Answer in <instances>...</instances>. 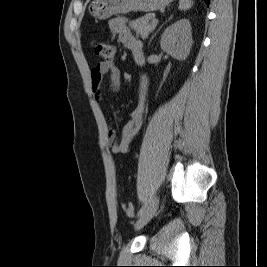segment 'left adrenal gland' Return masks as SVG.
<instances>
[{
  "instance_id": "left-adrenal-gland-1",
  "label": "left adrenal gland",
  "mask_w": 267,
  "mask_h": 267,
  "mask_svg": "<svg viewBox=\"0 0 267 267\" xmlns=\"http://www.w3.org/2000/svg\"><path fill=\"white\" fill-rule=\"evenodd\" d=\"M171 18V17H170ZM161 29V27L156 31V33ZM156 33L152 36V38L150 39V42L152 41V39L155 37ZM150 44V43H149Z\"/></svg>"
}]
</instances>
